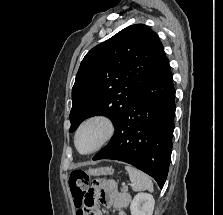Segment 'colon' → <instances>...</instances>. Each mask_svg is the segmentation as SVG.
I'll return each instance as SVG.
<instances>
[{"label": "colon", "mask_w": 223, "mask_h": 215, "mask_svg": "<svg viewBox=\"0 0 223 215\" xmlns=\"http://www.w3.org/2000/svg\"><path fill=\"white\" fill-rule=\"evenodd\" d=\"M88 176L82 170H75L69 177V186L78 214L92 215L93 206L84 202Z\"/></svg>", "instance_id": "5ec220e1"}]
</instances>
